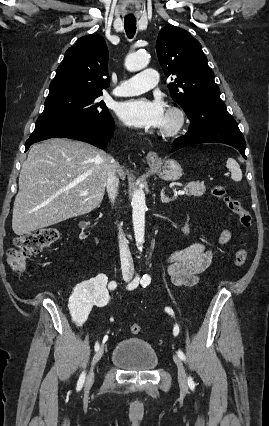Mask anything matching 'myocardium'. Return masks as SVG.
<instances>
[{"label": "myocardium", "instance_id": "myocardium-1", "mask_svg": "<svg viewBox=\"0 0 269 426\" xmlns=\"http://www.w3.org/2000/svg\"><path fill=\"white\" fill-rule=\"evenodd\" d=\"M167 123L162 126L160 135L165 138L177 136L185 128L187 115L180 107H170L166 114Z\"/></svg>", "mask_w": 269, "mask_h": 426}]
</instances>
